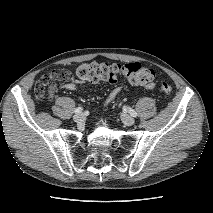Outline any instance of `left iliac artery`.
<instances>
[{
    "instance_id": "44dca946",
    "label": "left iliac artery",
    "mask_w": 213,
    "mask_h": 213,
    "mask_svg": "<svg viewBox=\"0 0 213 213\" xmlns=\"http://www.w3.org/2000/svg\"><path fill=\"white\" fill-rule=\"evenodd\" d=\"M128 111H129V113H130L131 116L137 117V112L134 109L128 108Z\"/></svg>"
}]
</instances>
